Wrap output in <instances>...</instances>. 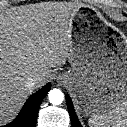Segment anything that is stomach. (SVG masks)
Masks as SVG:
<instances>
[{"mask_svg": "<svg viewBox=\"0 0 127 127\" xmlns=\"http://www.w3.org/2000/svg\"><path fill=\"white\" fill-rule=\"evenodd\" d=\"M88 14L89 7H81L77 20ZM77 30L71 70L58 79L77 94L85 115L106 112L127 98V53L122 50L116 53L84 26Z\"/></svg>", "mask_w": 127, "mask_h": 127, "instance_id": "0dacf381", "label": "stomach"}]
</instances>
